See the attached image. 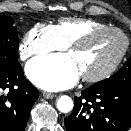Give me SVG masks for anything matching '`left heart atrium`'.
<instances>
[{
    "mask_svg": "<svg viewBox=\"0 0 131 131\" xmlns=\"http://www.w3.org/2000/svg\"><path fill=\"white\" fill-rule=\"evenodd\" d=\"M29 79L37 86L50 91L73 86L80 71L70 54H54L31 60L26 66Z\"/></svg>",
    "mask_w": 131,
    "mask_h": 131,
    "instance_id": "left-heart-atrium-1",
    "label": "left heart atrium"
}]
</instances>
